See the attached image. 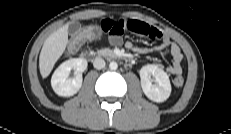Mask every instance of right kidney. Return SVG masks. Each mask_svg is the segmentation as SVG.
Listing matches in <instances>:
<instances>
[{"label":"right kidney","instance_id":"right-kidney-1","mask_svg":"<svg viewBox=\"0 0 231 134\" xmlns=\"http://www.w3.org/2000/svg\"><path fill=\"white\" fill-rule=\"evenodd\" d=\"M87 61L83 58H72L63 62L53 73L51 86L54 92L63 97L76 94L82 86V72L87 68ZM76 76L69 78L71 70Z\"/></svg>","mask_w":231,"mask_h":134}]
</instances>
